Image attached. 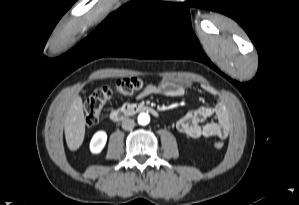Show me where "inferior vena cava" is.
Masks as SVG:
<instances>
[{
  "instance_id": "obj_1",
  "label": "inferior vena cava",
  "mask_w": 299,
  "mask_h": 205,
  "mask_svg": "<svg viewBox=\"0 0 299 205\" xmlns=\"http://www.w3.org/2000/svg\"><path fill=\"white\" fill-rule=\"evenodd\" d=\"M134 126H135V122L133 119L128 118V119H124L122 121V128L124 130H132L134 128Z\"/></svg>"
}]
</instances>
